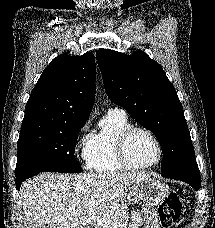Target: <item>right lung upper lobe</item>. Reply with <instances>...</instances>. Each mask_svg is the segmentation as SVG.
Wrapping results in <instances>:
<instances>
[{
    "instance_id": "right-lung-upper-lobe-1",
    "label": "right lung upper lobe",
    "mask_w": 215,
    "mask_h": 228,
    "mask_svg": "<svg viewBox=\"0 0 215 228\" xmlns=\"http://www.w3.org/2000/svg\"><path fill=\"white\" fill-rule=\"evenodd\" d=\"M95 75L92 53L54 58L31 92L21 129L86 122L95 100Z\"/></svg>"
}]
</instances>
